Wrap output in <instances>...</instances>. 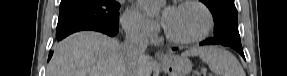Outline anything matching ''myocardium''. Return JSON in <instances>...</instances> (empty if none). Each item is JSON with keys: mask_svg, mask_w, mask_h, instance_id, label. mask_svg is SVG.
<instances>
[{"mask_svg": "<svg viewBox=\"0 0 287 76\" xmlns=\"http://www.w3.org/2000/svg\"><path fill=\"white\" fill-rule=\"evenodd\" d=\"M195 6L198 7L205 15L206 17V24L205 27L203 28V30L196 36L191 37V38H177L173 35H171L168 30L166 29V27H164V35L166 37L167 40H169L170 42L174 43V44H178V45H192L198 42H201L202 40H204L209 33L212 31L213 26H214V18H213V14L210 11V9L201 1L199 0H185V1H181L178 3L177 7H183V6Z\"/></svg>", "mask_w": 287, "mask_h": 76, "instance_id": "obj_1", "label": "myocardium"}]
</instances>
